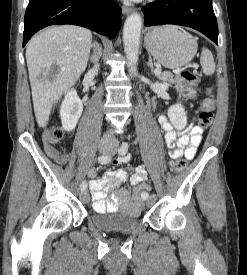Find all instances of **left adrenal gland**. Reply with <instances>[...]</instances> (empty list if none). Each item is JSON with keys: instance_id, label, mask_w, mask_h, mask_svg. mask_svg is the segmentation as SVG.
Wrapping results in <instances>:
<instances>
[{"instance_id": "left-adrenal-gland-1", "label": "left adrenal gland", "mask_w": 247, "mask_h": 275, "mask_svg": "<svg viewBox=\"0 0 247 275\" xmlns=\"http://www.w3.org/2000/svg\"><path fill=\"white\" fill-rule=\"evenodd\" d=\"M147 65L150 67L151 73L154 74V67H153L151 56H149V61H148Z\"/></svg>"}]
</instances>
